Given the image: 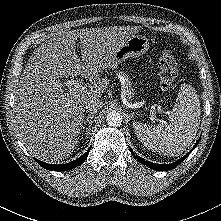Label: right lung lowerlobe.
<instances>
[{
  "label": "right lung lower lobe",
  "mask_w": 221,
  "mask_h": 221,
  "mask_svg": "<svg viewBox=\"0 0 221 221\" xmlns=\"http://www.w3.org/2000/svg\"><path fill=\"white\" fill-rule=\"evenodd\" d=\"M89 151H90V148L81 157H79L78 159H76L72 162L66 163V164L53 165V164L45 163L43 161H39L36 158H34V159L45 169H48L51 171L52 170H54V171H68V170H71V169L76 168L77 166L81 165L87 159Z\"/></svg>",
  "instance_id": "98d812e1"
}]
</instances>
